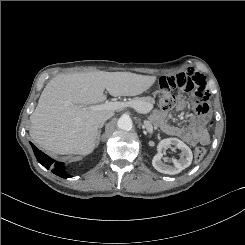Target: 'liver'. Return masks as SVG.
I'll use <instances>...</instances> for the list:
<instances>
[{
  "mask_svg": "<svg viewBox=\"0 0 245 245\" xmlns=\"http://www.w3.org/2000/svg\"><path fill=\"white\" fill-rule=\"evenodd\" d=\"M156 76L131 72L61 74L44 88L30 116V136L55 154H90L96 144L103 117L113 110H92L104 102L106 89L113 97L136 96L147 91Z\"/></svg>",
  "mask_w": 245,
  "mask_h": 245,
  "instance_id": "liver-1",
  "label": "liver"
}]
</instances>
